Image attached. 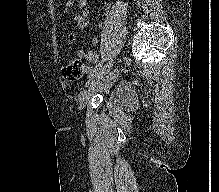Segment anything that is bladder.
Segmentation results:
<instances>
[{"label":"bladder","instance_id":"bladder-1","mask_svg":"<svg viewBox=\"0 0 219 192\" xmlns=\"http://www.w3.org/2000/svg\"><path fill=\"white\" fill-rule=\"evenodd\" d=\"M104 101L122 111H129L135 107L137 95L130 83L117 80L104 94Z\"/></svg>","mask_w":219,"mask_h":192}]
</instances>
